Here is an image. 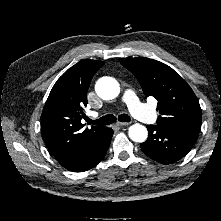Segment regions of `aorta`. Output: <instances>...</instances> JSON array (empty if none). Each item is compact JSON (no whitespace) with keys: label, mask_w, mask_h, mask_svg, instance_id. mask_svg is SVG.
Masks as SVG:
<instances>
[{"label":"aorta","mask_w":221,"mask_h":221,"mask_svg":"<svg viewBox=\"0 0 221 221\" xmlns=\"http://www.w3.org/2000/svg\"><path fill=\"white\" fill-rule=\"evenodd\" d=\"M95 91L100 98L111 100L119 95L120 86L114 78L102 77L96 82ZM128 134L132 141L142 143L147 139L148 131L145 126L134 124L129 128Z\"/></svg>","instance_id":"aorta-1"}]
</instances>
